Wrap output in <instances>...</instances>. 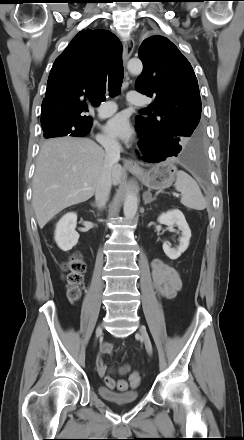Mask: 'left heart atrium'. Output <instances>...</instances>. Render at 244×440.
<instances>
[{"label": "left heart atrium", "instance_id": "1", "mask_svg": "<svg viewBox=\"0 0 244 440\" xmlns=\"http://www.w3.org/2000/svg\"><path fill=\"white\" fill-rule=\"evenodd\" d=\"M104 129L111 137L124 142L130 141L133 137V129L125 113H118L110 118Z\"/></svg>", "mask_w": 244, "mask_h": 440}]
</instances>
